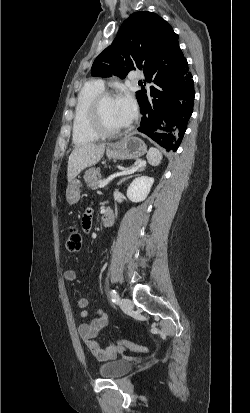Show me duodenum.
<instances>
[{"instance_id": "obj_1", "label": "duodenum", "mask_w": 250, "mask_h": 413, "mask_svg": "<svg viewBox=\"0 0 250 413\" xmlns=\"http://www.w3.org/2000/svg\"><path fill=\"white\" fill-rule=\"evenodd\" d=\"M114 222V215L110 209H107L102 216V224L104 227H110Z\"/></svg>"}]
</instances>
